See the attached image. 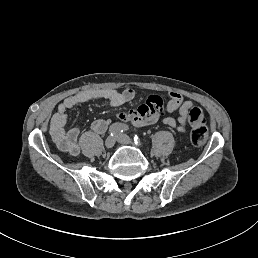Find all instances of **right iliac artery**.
<instances>
[{
  "label": "right iliac artery",
  "instance_id": "1",
  "mask_svg": "<svg viewBox=\"0 0 258 258\" xmlns=\"http://www.w3.org/2000/svg\"><path fill=\"white\" fill-rule=\"evenodd\" d=\"M129 127L122 123H114L109 128V133L111 136H117L125 131H127Z\"/></svg>",
  "mask_w": 258,
  "mask_h": 258
}]
</instances>
